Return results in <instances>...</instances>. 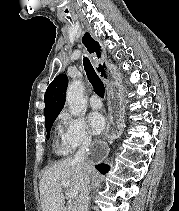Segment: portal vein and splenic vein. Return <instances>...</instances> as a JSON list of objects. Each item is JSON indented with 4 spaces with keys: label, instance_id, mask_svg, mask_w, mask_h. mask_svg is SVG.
<instances>
[{
    "label": "portal vein and splenic vein",
    "instance_id": "18ae733b",
    "mask_svg": "<svg viewBox=\"0 0 179 211\" xmlns=\"http://www.w3.org/2000/svg\"><path fill=\"white\" fill-rule=\"evenodd\" d=\"M61 185L64 186V187H67V188L70 187V184L68 182H66V181H62ZM67 196L69 198H77L78 191L75 190V189H69L68 192H67Z\"/></svg>",
    "mask_w": 179,
    "mask_h": 211
}]
</instances>
